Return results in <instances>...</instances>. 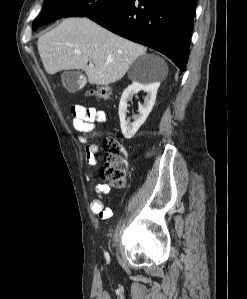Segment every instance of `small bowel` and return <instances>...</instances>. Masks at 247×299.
<instances>
[{"instance_id":"small-bowel-1","label":"small bowel","mask_w":247,"mask_h":299,"mask_svg":"<svg viewBox=\"0 0 247 299\" xmlns=\"http://www.w3.org/2000/svg\"><path fill=\"white\" fill-rule=\"evenodd\" d=\"M71 111L73 127L78 132L79 140L85 144V159L89 165L96 166L99 147L92 142L91 136L96 132V124L107 120L106 113L95 107L82 105L73 106ZM95 191L98 197L91 202V210L100 219H109L113 212L111 208L104 205L102 195L108 194L110 187L106 183H99L96 185Z\"/></svg>"}]
</instances>
